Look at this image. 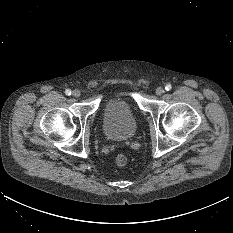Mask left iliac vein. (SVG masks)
Returning a JSON list of instances; mask_svg holds the SVG:
<instances>
[{"instance_id":"1","label":"left iliac vein","mask_w":233,"mask_h":233,"mask_svg":"<svg viewBox=\"0 0 233 233\" xmlns=\"http://www.w3.org/2000/svg\"><path fill=\"white\" fill-rule=\"evenodd\" d=\"M164 88L163 87H158V88H156V91H155V93L157 94V95H162L163 93H164Z\"/></svg>"}]
</instances>
